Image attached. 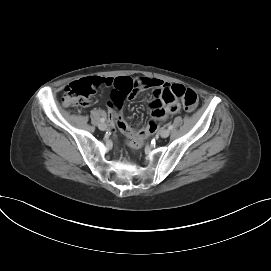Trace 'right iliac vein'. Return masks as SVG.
<instances>
[{"instance_id": "right-iliac-vein-1", "label": "right iliac vein", "mask_w": 271, "mask_h": 271, "mask_svg": "<svg viewBox=\"0 0 271 271\" xmlns=\"http://www.w3.org/2000/svg\"><path fill=\"white\" fill-rule=\"evenodd\" d=\"M99 129L102 131H105L107 129V124L106 123H100L98 125Z\"/></svg>"}]
</instances>
